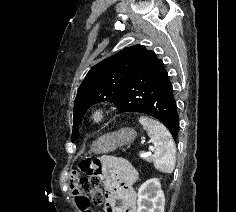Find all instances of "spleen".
<instances>
[{
  "label": "spleen",
  "mask_w": 236,
  "mask_h": 212,
  "mask_svg": "<svg viewBox=\"0 0 236 212\" xmlns=\"http://www.w3.org/2000/svg\"><path fill=\"white\" fill-rule=\"evenodd\" d=\"M140 124L147 131L153 144L154 167L164 173H172L176 163V147L172 135L159 121L142 116Z\"/></svg>",
  "instance_id": "3e777b00"
}]
</instances>
